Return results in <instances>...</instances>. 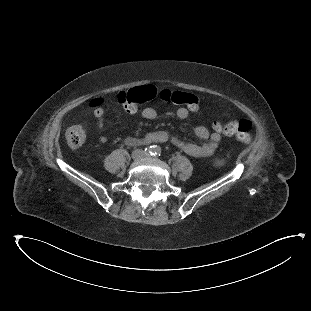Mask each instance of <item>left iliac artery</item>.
<instances>
[{
	"instance_id": "44dca946",
	"label": "left iliac artery",
	"mask_w": 311,
	"mask_h": 311,
	"mask_svg": "<svg viewBox=\"0 0 311 311\" xmlns=\"http://www.w3.org/2000/svg\"><path fill=\"white\" fill-rule=\"evenodd\" d=\"M153 155L157 157L161 156V148L159 146L154 147Z\"/></svg>"
}]
</instances>
